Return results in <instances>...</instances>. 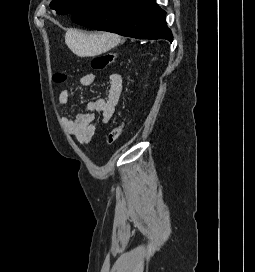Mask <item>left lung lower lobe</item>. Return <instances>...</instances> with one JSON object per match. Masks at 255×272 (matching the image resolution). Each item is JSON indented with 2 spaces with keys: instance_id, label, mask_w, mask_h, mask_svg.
Returning <instances> with one entry per match:
<instances>
[{
  "instance_id": "1",
  "label": "left lung lower lobe",
  "mask_w": 255,
  "mask_h": 272,
  "mask_svg": "<svg viewBox=\"0 0 255 272\" xmlns=\"http://www.w3.org/2000/svg\"><path fill=\"white\" fill-rule=\"evenodd\" d=\"M165 16L155 0H90L73 13L72 21L123 36L172 42Z\"/></svg>"
}]
</instances>
